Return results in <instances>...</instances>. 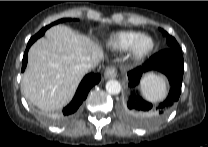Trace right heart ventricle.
Masks as SVG:
<instances>
[{"instance_id":"right-heart-ventricle-1","label":"right heart ventricle","mask_w":208,"mask_h":147,"mask_svg":"<svg viewBox=\"0 0 208 147\" xmlns=\"http://www.w3.org/2000/svg\"><path fill=\"white\" fill-rule=\"evenodd\" d=\"M141 34L136 30H122L112 33L106 39L107 46L118 52H124L129 50L133 41Z\"/></svg>"}]
</instances>
